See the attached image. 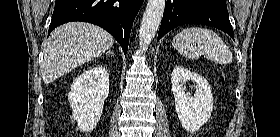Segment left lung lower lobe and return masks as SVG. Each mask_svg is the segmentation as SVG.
<instances>
[{"instance_id": "1", "label": "left lung lower lobe", "mask_w": 280, "mask_h": 137, "mask_svg": "<svg viewBox=\"0 0 280 137\" xmlns=\"http://www.w3.org/2000/svg\"><path fill=\"white\" fill-rule=\"evenodd\" d=\"M184 24H201L224 31L234 39L226 0H167L158 40Z\"/></svg>"}]
</instances>
